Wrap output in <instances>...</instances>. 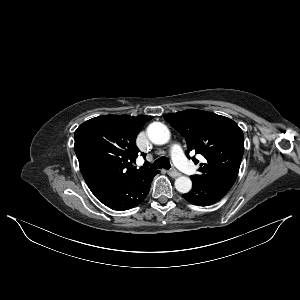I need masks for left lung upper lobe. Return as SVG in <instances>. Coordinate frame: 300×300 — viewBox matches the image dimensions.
Here are the masks:
<instances>
[{"mask_svg":"<svg viewBox=\"0 0 300 300\" xmlns=\"http://www.w3.org/2000/svg\"><path fill=\"white\" fill-rule=\"evenodd\" d=\"M187 143L190 151L204 156L197 175L190 178L202 184L229 191L233 186L244 152V136L231 119L203 110H184L164 116ZM195 163L198 160L192 157Z\"/></svg>","mask_w":300,"mask_h":300,"instance_id":"1","label":"left lung upper lobe"}]
</instances>
